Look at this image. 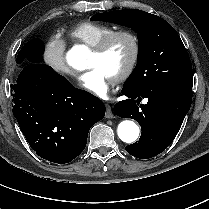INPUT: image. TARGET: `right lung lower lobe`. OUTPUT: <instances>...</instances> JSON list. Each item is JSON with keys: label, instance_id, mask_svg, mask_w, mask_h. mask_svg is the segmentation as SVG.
Listing matches in <instances>:
<instances>
[{"label": "right lung lower lobe", "instance_id": "right-lung-lower-lobe-1", "mask_svg": "<svg viewBox=\"0 0 209 209\" xmlns=\"http://www.w3.org/2000/svg\"><path fill=\"white\" fill-rule=\"evenodd\" d=\"M11 91L13 115L27 142L41 158L54 163L76 158L90 128L105 116L99 98L76 89L40 62L27 65Z\"/></svg>", "mask_w": 209, "mask_h": 209}]
</instances>
